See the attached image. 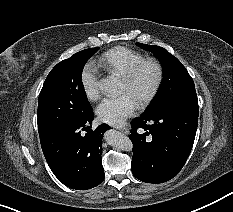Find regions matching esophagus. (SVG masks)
Listing matches in <instances>:
<instances>
[{
	"label": "esophagus",
	"mask_w": 233,
	"mask_h": 212,
	"mask_svg": "<svg viewBox=\"0 0 233 212\" xmlns=\"http://www.w3.org/2000/svg\"><path fill=\"white\" fill-rule=\"evenodd\" d=\"M118 129H119V131H121L122 133H125V134H127L129 132L128 128H126V127H119Z\"/></svg>",
	"instance_id": "34e87169"
}]
</instances>
